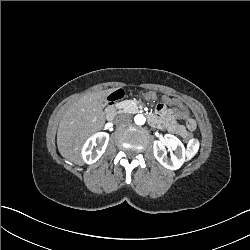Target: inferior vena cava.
Wrapping results in <instances>:
<instances>
[{"label":"inferior vena cava","mask_w":250,"mask_h":250,"mask_svg":"<svg viewBox=\"0 0 250 250\" xmlns=\"http://www.w3.org/2000/svg\"><path fill=\"white\" fill-rule=\"evenodd\" d=\"M116 122L120 124H129L132 122V115L129 113H122L116 117Z\"/></svg>","instance_id":"1"}]
</instances>
